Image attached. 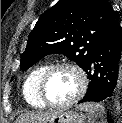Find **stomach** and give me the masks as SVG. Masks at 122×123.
I'll use <instances>...</instances> for the list:
<instances>
[{"label":"stomach","mask_w":122,"mask_h":123,"mask_svg":"<svg viewBox=\"0 0 122 123\" xmlns=\"http://www.w3.org/2000/svg\"><path fill=\"white\" fill-rule=\"evenodd\" d=\"M86 117L74 111H54L46 123H85Z\"/></svg>","instance_id":"stomach-1"}]
</instances>
